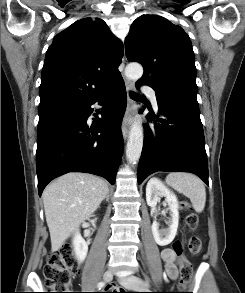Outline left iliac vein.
<instances>
[{
	"label": "left iliac vein",
	"mask_w": 245,
	"mask_h": 293,
	"mask_svg": "<svg viewBox=\"0 0 245 293\" xmlns=\"http://www.w3.org/2000/svg\"><path fill=\"white\" fill-rule=\"evenodd\" d=\"M119 283L128 289L142 288L144 286V282L139 277L134 275L119 278ZM146 284L148 285V283Z\"/></svg>",
	"instance_id": "left-iliac-vein-1"
}]
</instances>
